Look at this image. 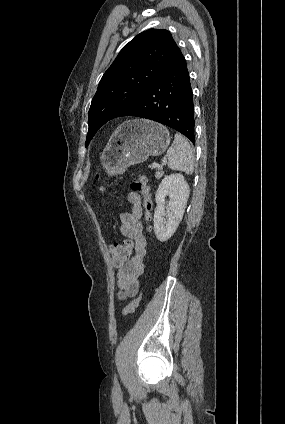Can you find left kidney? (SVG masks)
Listing matches in <instances>:
<instances>
[{"label":"left kidney","instance_id":"obj_1","mask_svg":"<svg viewBox=\"0 0 285 424\" xmlns=\"http://www.w3.org/2000/svg\"><path fill=\"white\" fill-rule=\"evenodd\" d=\"M189 193V185L182 174H171L162 179L155 195L157 206L154 212V232L159 241L165 242L175 233L183 218ZM167 196L170 212L166 215L164 205Z\"/></svg>","mask_w":285,"mask_h":424}]
</instances>
